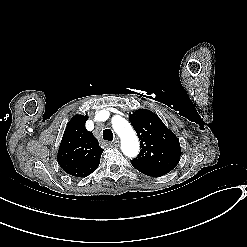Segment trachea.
Returning a JSON list of instances; mask_svg holds the SVG:
<instances>
[{
	"label": "trachea",
	"mask_w": 247,
	"mask_h": 247,
	"mask_svg": "<svg viewBox=\"0 0 247 247\" xmlns=\"http://www.w3.org/2000/svg\"><path fill=\"white\" fill-rule=\"evenodd\" d=\"M103 139L106 141H112L113 140V133L110 129H105L102 133Z\"/></svg>",
	"instance_id": "obj_1"
}]
</instances>
